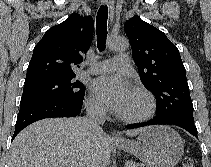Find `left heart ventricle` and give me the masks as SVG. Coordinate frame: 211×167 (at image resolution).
Instances as JSON below:
<instances>
[{
  "instance_id": "obj_1",
  "label": "left heart ventricle",
  "mask_w": 211,
  "mask_h": 167,
  "mask_svg": "<svg viewBox=\"0 0 211 167\" xmlns=\"http://www.w3.org/2000/svg\"><path fill=\"white\" fill-rule=\"evenodd\" d=\"M146 102L143 97L132 93L131 98L123 111V115L126 116H138L145 112Z\"/></svg>"
}]
</instances>
